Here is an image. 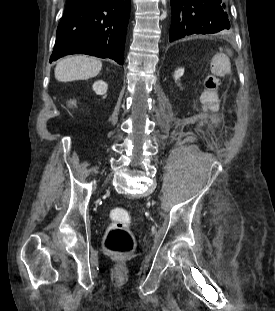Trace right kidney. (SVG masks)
<instances>
[{
    "label": "right kidney",
    "instance_id": "ca27d5eb",
    "mask_svg": "<svg viewBox=\"0 0 275 311\" xmlns=\"http://www.w3.org/2000/svg\"><path fill=\"white\" fill-rule=\"evenodd\" d=\"M108 89V85L106 82L102 81V80H98L93 84V90L95 91L96 94L98 95H104L106 93ZM105 98H107L108 96L105 95ZM99 103L101 105H104L106 103V100L104 98H101L99 100Z\"/></svg>",
    "mask_w": 275,
    "mask_h": 311
}]
</instances>
